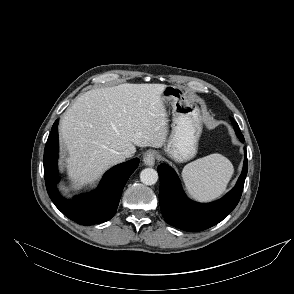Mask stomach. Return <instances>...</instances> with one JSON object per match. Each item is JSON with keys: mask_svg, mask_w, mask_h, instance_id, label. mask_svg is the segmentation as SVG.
I'll use <instances>...</instances> for the list:
<instances>
[{"mask_svg": "<svg viewBox=\"0 0 294 294\" xmlns=\"http://www.w3.org/2000/svg\"><path fill=\"white\" fill-rule=\"evenodd\" d=\"M162 101L164 106H172V130L164 150L176 162L188 161L197 153L202 133L200 109L175 86H166L162 92Z\"/></svg>", "mask_w": 294, "mask_h": 294, "instance_id": "1", "label": "stomach"}]
</instances>
